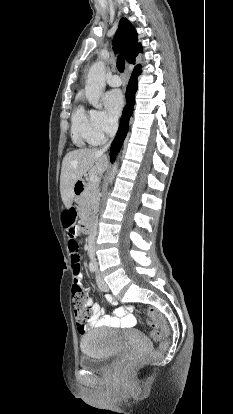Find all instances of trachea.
<instances>
[{"label":"trachea","instance_id":"3493384b","mask_svg":"<svg viewBox=\"0 0 233 414\" xmlns=\"http://www.w3.org/2000/svg\"><path fill=\"white\" fill-rule=\"evenodd\" d=\"M117 69L120 72H124V69H125V61L121 56H119L117 59Z\"/></svg>","mask_w":233,"mask_h":414}]
</instances>
